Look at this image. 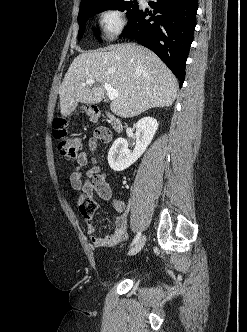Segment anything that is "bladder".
<instances>
[{"label":"bladder","instance_id":"obj_1","mask_svg":"<svg viewBox=\"0 0 247 332\" xmlns=\"http://www.w3.org/2000/svg\"><path fill=\"white\" fill-rule=\"evenodd\" d=\"M122 274L134 281H143L145 278L143 272L140 269H131Z\"/></svg>","mask_w":247,"mask_h":332}]
</instances>
